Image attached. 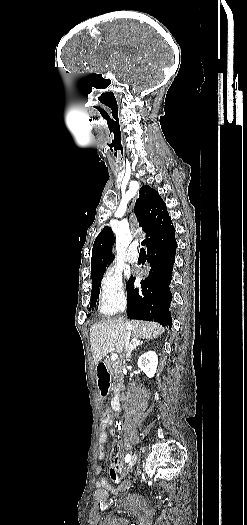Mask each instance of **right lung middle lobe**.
<instances>
[{
    "label": "right lung middle lobe",
    "mask_w": 247,
    "mask_h": 525,
    "mask_svg": "<svg viewBox=\"0 0 247 525\" xmlns=\"http://www.w3.org/2000/svg\"><path fill=\"white\" fill-rule=\"evenodd\" d=\"M103 274L104 273L91 276L92 277V292H91L90 307H93L96 304L98 294H99V287L101 285V279L103 277Z\"/></svg>",
    "instance_id": "1"
}]
</instances>
